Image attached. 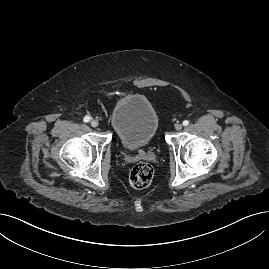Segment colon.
<instances>
[{
  "label": "colon",
  "instance_id": "colon-1",
  "mask_svg": "<svg viewBox=\"0 0 269 269\" xmlns=\"http://www.w3.org/2000/svg\"><path fill=\"white\" fill-rule=\"evenodd\" d=\"M153 178V169L147 163L135 165L129 173V183L137 190H142L150 186Z\"/></svg>",
  "mask_w": 269,
  "mask_h": 269
}]
</instances>
